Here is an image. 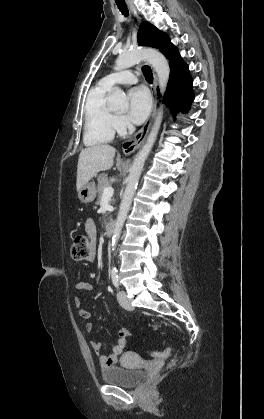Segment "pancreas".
I'll return each instance as SVG.
<instances>
[{
  "label": "pancreas",
  "mask_w": 264,
  "mask_h": 419,
  "mask_svg": "<svg viewBox=\"0 0 264 419\" xmlns=\"http://www.w3.org/2000/svg\"><path fill=\"white\" fill-rule=\"evenodd\" d=\"M97 181H98V185H97V193H98L97 204L99 205L100 202H101V199H102V195H103L104 189L107 188V187H110L111 186V182L108 179V175L107 174H104V173L100 174L97 177ZM113 202H114V199H111L110 200V203H113Z\"/></svg>",
  "instance_id": "pancreas-1"
}]
</instances>
